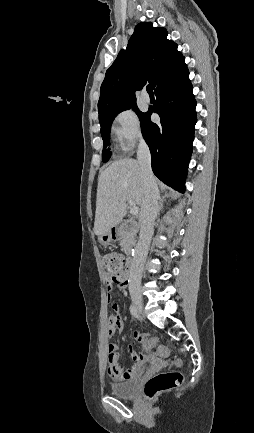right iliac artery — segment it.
Returning a JSON list of instances; mask_svg holds the SVG:
<instances>
[{
	"mask_svg": "<svg viewBox=\"0 0 254 433\" xmlns=\"http://www.w3.org/2000/svg\"><path fill=\"white\" fill-rule=\"evenodd\" d=\"M130 313L132 314V316L138 317L137 309L133 304L130 306Z\"/></svg>",
	"mask_w": 254,
	"mask_h": 433,
	"instance_id": "obj_1",
	"label": "right iliac artery"
}]
</instances>
